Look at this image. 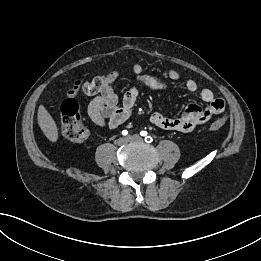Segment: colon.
Wrapping results in <instances>:
<instances>
[{
	"label": "colon",
	"instance_id": "obj_1",
	"mask_svg": "<svg viewBox=\"0 0 261 261\" xmlns=\"http://www.w3.org/2000/svg\"><path fill=\"white\" fill-rule=\"evenodd\" d=\"M103 85L101 76H97L90 81H76L66 89V96L61 103V130L63 135L72 141H83L88 137V130L81 121L79 104L76 94L79 90L87 93H97ZM228 119V113L223 111L221 116L211 123L209 129L216 131L222 128Z\"/></svg>",
	"mask_w": 261,
	"mask_h": 261
}]
</instances>
